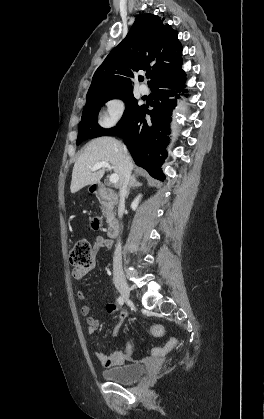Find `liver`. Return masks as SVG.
<instances>
[{
    "instance_id": "6515ba94",
    "label": "liver",
    "mask_w": 264,
    "mask_h": 419,
    "mask_svg": "<svg viewBox=\"0 0 264 419\" xmlns=\"http://www.w3.org/2000/svg\"><path fill=\"white\" fill-rule=\"evenodd\" d=\"M123 146L124 145L115 138L106 136L96 138L89 142L84 152L74 164L70 186L71 193H76L87 185L100 182V179L105 173V169L100 168L97 171H91V168L98 162H108L112 164L115 174L119 177L118 186L121 187L124 182Z\"/></svg>"
}]
</instances>
